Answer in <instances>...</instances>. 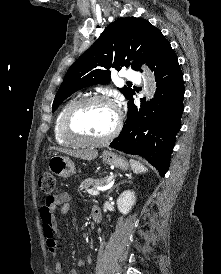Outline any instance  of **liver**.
<instances>
[{
  "label": "liver",
  "mask_w": 221,
  "mask_h": 274,
  "mask_svg": "<svg viewBox=\"0 0 221 274\" xmlns=\"http://www.w3.org/2000/svg\"><path fill=\"white\" fill-rule=\"evenodd\" d=\"M50 150H56L61 153L68 154L70 156L80 158L82 160H93L98 156V151L93 148L81 149V150H71L65 148L51 147Z\"/></svg>",
  "instance_id": "liver-1"
}]
</instances>
